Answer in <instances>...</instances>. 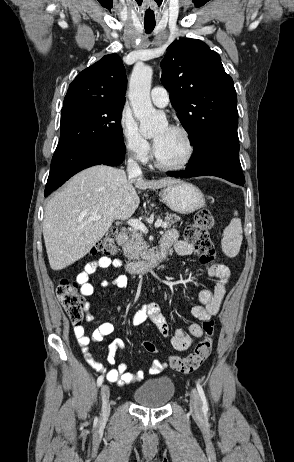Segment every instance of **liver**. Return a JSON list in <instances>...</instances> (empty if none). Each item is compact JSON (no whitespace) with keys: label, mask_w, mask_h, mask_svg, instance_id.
Wrapping results in <instances>:
<instances>
[{"label":"liver","mask_w":294,"mask_h":462,"mask_svg":"<svg viewBox=\"0 0 294 462\" xmlns=\"http://www.w3.org/2000/svg\"><path fill=\"white\" fill-rule=\"evenodd\" d=\"M179 180L127 178L124 170L97 165L76 174L47 203L43 236L50 267L62 270L83 258L115 220L131 217L139 206L138 189H159ZM94 215L101 218L91 220Z\"/></svg>","instance_id":"liver-1"}]
</instances>
